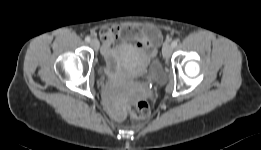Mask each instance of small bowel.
Returning <instances> with one entry per match:
<instances>
[{
  "mask_svg": "<svg viewBox=\"0 0 261 150\" xmlns=\"http://www.w3.org/2000/svg\"><path fill=\"white\" fill-rule=\"evenodd\" d=\"M121 35H124L126 38H133L136 41L134 49L141 57L154 56L162 41L160 31L152 26H146L137 33H132L129 29L112 27L105 28L100 32L101 40L104 43V49L111 47L113 40Z\"/></svg>",
  "mask_w": 261,
  "mask_h": 150,
  "instance_id": "c3829d8e",
  "label": "small bowel"
}]
</instances>
